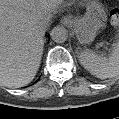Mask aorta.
<instances>
[{
    "label": "aorta",
    "instance_id": "762f6f07",
    "mask_svg": "<svg viewBox=\"0 0 119 119\" xmlns=\"http://www.w3.org/2000/svg\"><path fill=\"white\" fill-rule=\"evenodd\" d=\"M52 40L56 43H63L68 37L67 30L63 26H56L51 31Z\"/></svg>",
    "mask_w": 119,
    "mask_h": 119
}]
</instances>
